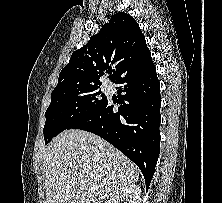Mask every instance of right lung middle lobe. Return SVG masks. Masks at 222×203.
Returning <instances> with one entry per match:
<instances>
[{
  "label": "right lung middle lobe",
  "mask_w": 222,
  "mask_h": 203,
  "mask_svg": "<svg viewBox=\"0 0 222 203\" xmlns=\"http://www.w3.org/2000/svg\"><path fill=\"white\" fill-rule=\"evenodd\" d=\"M100 85H86L52 92L43 129L45 144L94 112L106 102Z\"/></svg>",
  "instance_id": "right-lung-middle-lobe-1"
}]
</instances>
